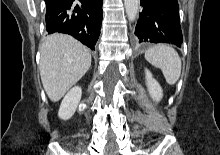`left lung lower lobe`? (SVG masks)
Listing matches in <instances>:
<instances>
[{
	"label": "left lung lower lobe",
	"instance_id": "0a47b994",
	"mask_svg": "<svg viewBox=\"0 0 220 155\" xmlns=\"http://www.w3.org/2000/svg\"><path fill=\"white\" fill-rule=\"evenodd\" d=\"M136 42L172 43L180 47L183 36L177 0H141Z\"/></svg>",
	"mask_w": 220,
	"mask_h": 155
}]
</instances>
